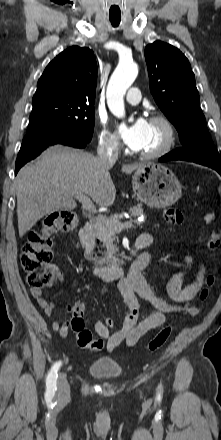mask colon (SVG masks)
<instances>
[{"label":"colon","mask_w":221,"mask_h":440,"mask_svg":"<svg viewBox=\"0 0 221 440\" xmlns=\"http://www.w3.org/2000/svg\"><path fill=\"white\" fill-rule=\"evenodd\" d=\"M165 220L170 225H181L183 214L177 208H168L165 211ZM215 220L213 213L205 215V222L212 223ZM79 225L78 217L68 211H59L49 214L39 230L29 233L26 243L23 245L20 257L21 266L27 274V283L33 289L41 290L51 286L55 279V272L50 267L53 258L52 253V235L58 232H70ZM220 247V239L217 235L211 234L207 239V248L215 252ZM214 283L213 275L206 278L205 286L199 293V300L207 299L209 289ZM85 305L83 302H77L74 305L72 317L70 320L71 328L76 336L77 344L83 349L101 350L104 348V342L101 339H95L89 329L85 327L84 321ZM102 322L107 329H114L116 322L112 315H104ZM172 332V326H164L148 343V351H156L163 347L168 341Z\"/></svg>","instance_id":"5ec220e1"}]
</instances>
